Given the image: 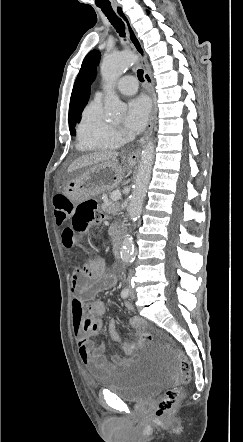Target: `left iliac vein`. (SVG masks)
Wrapping results in <instances>:
<instances>
[{
    "label": "left iliac vein",
    "instance_id": "4c4485c4",
    "mask_svg": "<svg viewBox=\"0 0 243 442\" xmlns=\"http://www.w3.org/2000/svg\"><path fill=\"white\" fill-rule=\"evenodd\" d=\"M129 296H130L131 299H134V298H135V292H134L133 289H130Z\"/></svg>",
    "mask_w": 243,
    "mask_h": 442
}]
</instances>
